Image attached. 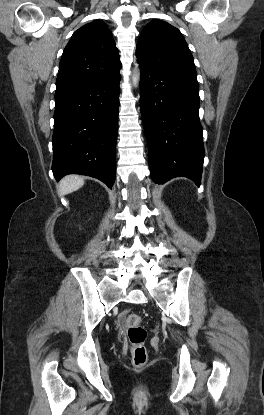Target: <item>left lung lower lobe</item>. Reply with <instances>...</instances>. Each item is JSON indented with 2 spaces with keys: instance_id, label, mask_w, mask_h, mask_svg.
Returning <instances> with one entry per match:
<instances>
[{
  "instance_id": "0a47b994",
  "label": "left lung lower lobe",
  "mask_w": 264,
  "mask_h": 415,
  "mask_svg": "<svg viewBox=\"0 0 264 415\" xmlns=\"http://www.w3.org/2000/svg\"><path fill=\"white\" fill-rule=\"evenodd\" d=\"M139 65L140 108L152 179L163 184L184 176L199 186L205 152L197 78Z\"/></svg>"
}]
</instances>
